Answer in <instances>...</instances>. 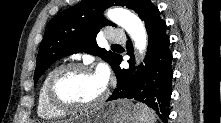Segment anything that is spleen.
<instances>
[{"label":"spleen","instance_id":"spleen-1","mask_svg":"<svg viewBox=\"0 0 221 123\" xmlns=\"http://www.w3.org/2000/svg\"><path fill=\"white\" fill-rule=\"evenodd\" d=\"M138 111V121L137 123H155L156 113L143 103H137L136 105Z\"/></svg>","mask_w":221,"mask_h":123}]
</instances>
